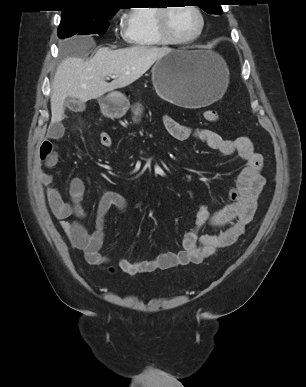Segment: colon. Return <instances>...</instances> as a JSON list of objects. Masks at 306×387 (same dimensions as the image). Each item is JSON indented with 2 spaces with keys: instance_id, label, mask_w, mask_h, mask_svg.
<instances>
[{
  "instance_id": "1",
  "label": "colon",
  "mask_w": 306,
  "mask_h": 387,
  "mask_svg": "<svg viewBox=\"0 0 306 387\" xmlns=\"http://www.w3.org/2000/svg\"><path fill=\"white\" fill-rule=\"evenodd\" d=\"M204 118L208 122H217L219 120V114L215 110H206L204 112ZM99 143L103 147H110L112 145L111 136L106 132L100 133Z\"/></svg>"
}]
</instances>
